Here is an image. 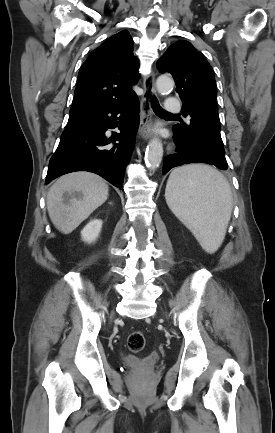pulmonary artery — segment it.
I'll return each instance as SVG.
<instances>
[{
  "label": "pulmonary artery",
  "instance_id": "obj_1",
  "mask_svg": "<svg viewBox=\"0 0 275 433\" xmlns=\"http://www.w3.org/2000/svg\"><path fill=\"white\" fill-rule=\"evenodd\" d=\"M180 110H181L180 103L175 97L169 96L166 98L164 111L170 114H175L180 112Z\"/></svg>",
  "mask_w": 275,
  "mask_h": 433
}]
</instances>
